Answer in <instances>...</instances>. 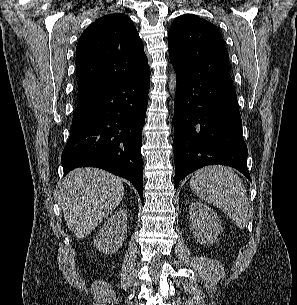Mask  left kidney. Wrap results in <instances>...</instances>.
Returning <instances> with one entry per match:
<instances>
[{
	"label": "left kidney",
	"instance_id": "5707ae66",
	"mask_svg": "<svg viewBox=\"0 0 297 305\" xmlns=\"http://www.w3.org/2000/svg\"><path fill=\"white\" fill-rule=\"evenodd\" d=\"M191 229L201 244H213L222 232V223L217 214L202 202L194 201L189 205Z\"/></svg>",
	"mask_w": 297,
	"mask_h": 305
}]
</instances>
